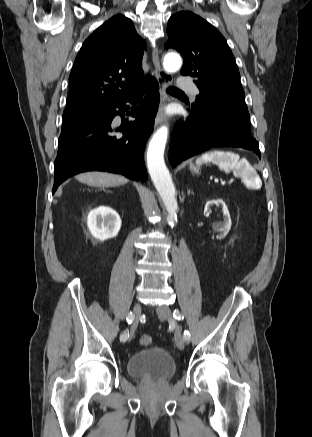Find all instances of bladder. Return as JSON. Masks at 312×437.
I'll return each instance as SVG.
<instances>
[{
	"label": "bladder",
	"mask_w": 312,
	"mask_h": 437,
	"mask_svg": "<svg viewBox=\"0 0 312 437\" xmlns=\"http://www.w3.org/2000/svg\"><path fill=\"white\" fill-rule=\"evenodd\" d=\"M126 366L128 374L138 379L164 381L176 373L173 357L159 346L138 350L129 357Z\"/></svg>",
	"instance_id": "31cf9c89"
}]
</instances>
